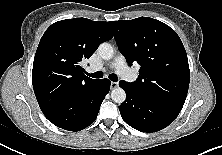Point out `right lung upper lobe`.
<instances>
[{
  "mask_svg": "<svg viewBox=\"0 0 222 155\" xmlns=\"http://www.w3.org/2000/svg\"><path fill=\"white\" fill-rule=\"evenodd\" d=\"M112 37L110 22L74 18L52 24L43 34L35 54L34 92L51 88L57 94H64L94 83L96 80L84 74L81 61Z\"/></svg>",
  "mask_w": 222,
  "mask_h": 155,
  "instance_id": "cb5924a9",
  "label": "right lung upper lobe"
}]
</instances>
